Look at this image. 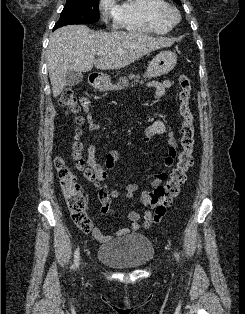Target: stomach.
<instances>
[{
    "label": "stomach",
    "instance_id": "obj_1",
    "mask_svg": "<svg viewBox=\"0 0 245 314\" xmlns=\"http://www.w3.org/2000/svg\"><path fill=\"white\" fill-rule=\"evenodd\" d=\"M177 63V55L171 51H161L149 64L144 76L155 78L169 73ZM99 91L118 89V86L111 84L107 76H99L93 83Z\"/></svg>",
    "mask_w": 245,
    "mask_h": 314
}]
</instances>
